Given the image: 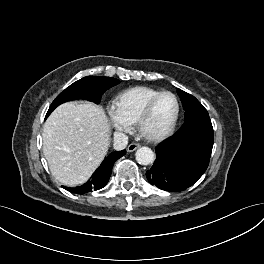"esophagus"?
Instances as JSON below:
<instances>
[{
  "label": "esophagus",
  "mask_w": 264,
  "mask_h": 264,
  "mask_svg": "<svg viewBox=\"0 0 264 264\" xmlns=\"http://www.w3.org/2000/svg\"><path fill=\"white\" fill-rule=\"evenodd\" d=\"M139 147H140L139 144H137V143H131V144L128 145L127 151L128 152H133V151H135Z\"/></svg>",
  "instance_id": "1"
}]
</instances>
